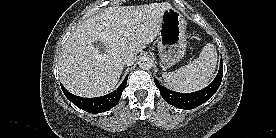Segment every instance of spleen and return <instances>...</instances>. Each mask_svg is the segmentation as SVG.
<instances>
[{"label":"spleen","mask_w":276,"mask_h":138,"mask_svg":"<svg viewBox=\"0 0 276 138\" xmlns=\"http://www.w3.org/2000/svg\"><path fill=\"white\" fill-rule=\"evenodd\" d=\"M217 64V51L208 43L199 57L173 72H163L165 82L178 92H194L208 85Z\"/></svg>","instance_id":"obj_1"}]
</instances>
